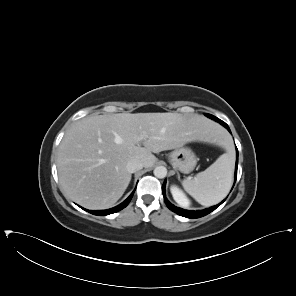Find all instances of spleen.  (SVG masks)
Listing matches in <instances>:
<instances>
[{
	"label": "spleen",
	"mask_w": 296,
	"mask_h": 296,
	"mask_svg": "<svg viewBox=\"0 0 296 296\" xmlns=\"http://www.w3.org/2000/svg\"><path fill=\"white\" fill-rule=\"evenodd\" d=\"M222 146L229 148L225 143ZM234 159L230 152L222 154L206 170L194 178L182 181L184 190L203 206H212L223 200L232 186Z\"/></svg>",
	"instance_id": "3e777b00"
}]
</instances>
